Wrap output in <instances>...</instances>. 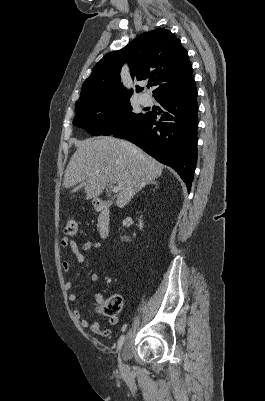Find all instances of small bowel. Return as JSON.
Wrapping results in <instances>:
<instances>
[{
    "mask_svg": "<svg viewBox=\"0 0 265 401\" xmlns=\"http://www.w3.org/2000/svg\"><path fill=\"white\" fill-rule=\"evenodd\" d=\"M61 243L64 247L71 250L75 259L79 263H85L87 261L86 257L83 255V253L81 251L87 252V251H91V250H97L101 247L100 242L88 240L81 245V249H80L77 242L75 240L69 239L68 237L63 238ZM71 267H72V264L70 261L65 260L62 262V269L65 273L69 272ZM89 279L93 282H96L99 280V275L97 273H92L90 275ZM65 287L67 290H70L72 288V282L66 281ZM68 299L71 302H75L77 300V294L74 292H71L68 296ZM97 299L99 302L102 300L101 297H98ZM74 316L79 321L80 325L83 328L88 329L90 332L97 334L99 336H102V337H106L110 334V330L103 329L98 322L89 323L87 320L82 318L81 312L79 310L74 311ZM109 322H110V324H115L117 322V318L115 316H113L110 318Z\"/></svg>",
    "mask_w": 265,
    "mask_h": 401,
    "instance_id": "small-bowel-1",
    "label": "small bowel"
}]
</instances>
